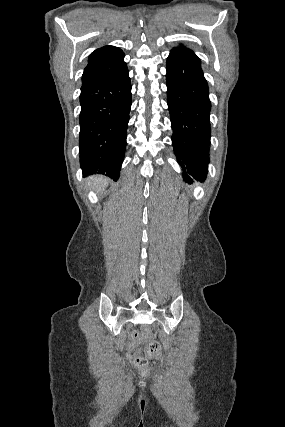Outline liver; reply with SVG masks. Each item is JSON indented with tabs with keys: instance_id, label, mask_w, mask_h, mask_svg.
Returning <instances> with one entry per match:
<instances>
[{
	"instance_id": "obj_1",
	"label": "liver",
	"mask_w": 285,
	"mask_h": 427,
	"mask_svg": "<svg viewBox=\"0 0 285 427\" xmlns=\"http://www.w3.org/2000/svg\"><path fill=\"white\" fill-rule=\"evenodd\" d=\"M88 182L92 184L98 191H101L107 185V178L104 176H91L88 178Z\"/></svg>"
}]
</instances>
